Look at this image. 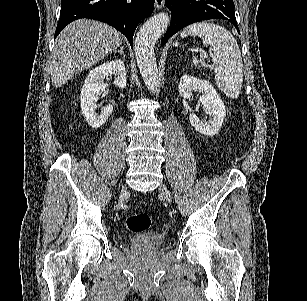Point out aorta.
<instances>
[{
    "label": "aorta",
    "instance_id": "762f6f07",
    "mask_svg": "<svg viewBox=\"0 0 307 301\" xmlns=\"http://www.w3.org/2000/svg\"><path fill=\"white\" fill-rule=\"evenodd\" d=\"M170 16L167 12H158L150 16L137 32L135 38V56L141 76L149 90L157 92L158 68L154 46L156 40L167 30Z\"/></svg>",
    "mask_w": 307,
    "mask_h": 301
}]
</instances>
